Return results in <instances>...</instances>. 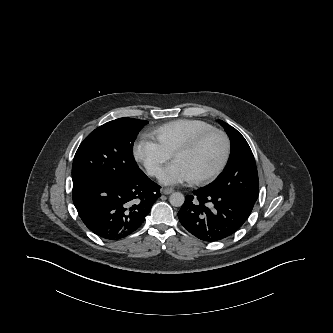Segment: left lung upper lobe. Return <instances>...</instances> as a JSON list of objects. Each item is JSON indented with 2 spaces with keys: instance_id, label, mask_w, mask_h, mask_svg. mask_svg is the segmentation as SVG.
Returning <instances> with one entry per match:
<instances>
[{
  "instance_id": "1",
  "label": "left lung upper lobe",
  "mask_w": 333,
  "mask_h": 333,
  "mask_svg": "<svg viewBox=\"0 0 333 333\" xmlns=\"http://www.w3.org/2000/svg\"><path fill=\"white\" fill-rule=\"evenodd\" d=\"M231 141V155L223 174L210 187L227 191L233 197L254 206L259 193V180L253 153L245 138L222 120Z\"/></svg>"
}]
</instances>
